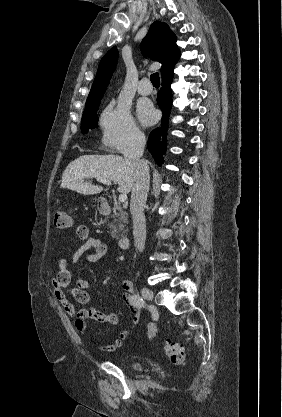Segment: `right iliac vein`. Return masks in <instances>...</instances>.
Returning <instances> with one entry per match:
<instances>
[{"instance_id": "right-iliac-vein-1", "label": "right iliac vein", "mask_w": 282, "mask_h": 417, "mask_svg": "<svg viewBox=\"0 0 282 417\" xmlns=\"http://www.w3.org/2000/svg\"><path fill=\"white\" fill-rule=\"evenodd\" d=\"M141 294L147 300H153V298H154L153 291L150 290V289H148V288H146V287H144V288L141 289Z\"/></svg>"}]
</instances>
